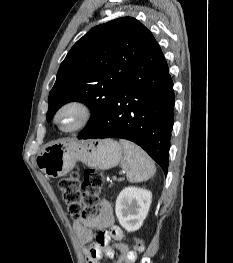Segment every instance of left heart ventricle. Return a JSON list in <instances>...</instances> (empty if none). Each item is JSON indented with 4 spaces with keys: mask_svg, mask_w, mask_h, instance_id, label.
I'll list each match as a JSON object with an SVG mask.
<instances>
[{
    "mask_svg": "<svg viewBox=\"0 0 233 263\" xmlns=\"http://www.w3.org/2000/svg\"><path fill=\"white\" fill-rule=\"evenodd\" d=\"M79 120V114L74 110L65 111L60 115L59 122L63 128H71Z\"/></svg>",
    "mask_w": 233,
    "mask_h": 263,
    "instance_id": "1",
    "label": "left heart ventricle"
}]
</instances>
